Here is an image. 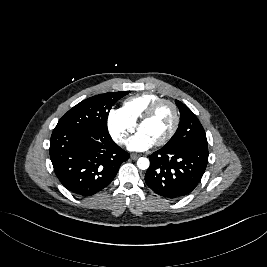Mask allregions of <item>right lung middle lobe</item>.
Listing matches in <instances>:
<instances>
[{
	"label": "right lung middle lobe",
	"instance_id": "dd1d6c3e",
	"mask_svg": "<svg viewBox=\"0 0 267 267\" xmlns=\"http://www.w3.org/2000/svg\"><path fill=\"white\" fill-rule=\"evenodd\" d=\"M128 93L129 91L105 93L83 100L59 120L55 129L108 131L107 118L111 107Z\"/></svg>",
	"mask_w": 267,
	"mask_h": 267
}]
</instances>
